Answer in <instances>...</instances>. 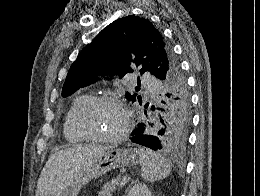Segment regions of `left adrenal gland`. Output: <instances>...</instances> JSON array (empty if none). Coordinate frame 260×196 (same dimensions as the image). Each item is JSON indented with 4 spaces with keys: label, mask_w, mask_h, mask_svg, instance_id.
<instances>
[{
    "label": "left adrenal gland",
    "mask_w": 260,
    "mask_h": 196,
    "mask_svg": "<svg viewBox=\"0 0 260 196\" xmlns=\"http://www.w3.org/2000/svg\"><path fill=\"white\" fill-rule=\"evenodd\" d=\"M127 192H128V190H125V196H126Z\"/></svg>",
    "instance_id": "a2214340"
}]
</instances>
